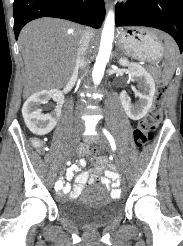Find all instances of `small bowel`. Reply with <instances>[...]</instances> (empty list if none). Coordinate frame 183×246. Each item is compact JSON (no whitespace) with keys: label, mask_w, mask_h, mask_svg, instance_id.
<instances>
[{"label":"small bowel","mask_w":183,"mask_h":246,"mask_svg":"<svg viewBox=\"0 0 183 246\" xmlns=\"http://www.w3.org/2000/svg\"><path fill=\"white\" fill-rule=\"evenodd\" d=\"M84 165V161H80L70 166L66 172V178L69 180L77 175L73 188L69 185H64V180H54V184H51V189H58L60 196L77 197L81 194L86 183H101L107 188V191H111L113 198L119 195L121 198L125 197L124 193L120 194L123 187L119 186V182H116L118 180V174L112 168L104 171V175L101 176L100 173L102 170L100 168L91 174L86 171L81 172Z\"/></svg>","instance_id":"c3829d8e"}]
</instances>
